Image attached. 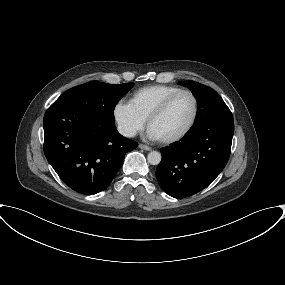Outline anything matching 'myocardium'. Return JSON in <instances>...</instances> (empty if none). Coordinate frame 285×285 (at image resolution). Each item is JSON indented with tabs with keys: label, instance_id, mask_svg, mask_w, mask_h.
<instances>
[{
	"label": "myocardium",
	"instance_id": "obj_1",
	"mask_svg": "<svg viewBox=\"0 0 285 285\" xmlns=\"http://www.w3.org/2000/svg\"><path fill=\"white\" fill-rule=\"evenodd\" d=\"M182 94H188L192 97L193 102H194V111H193V116L189 122V124L186 126V128L181 131L179 134L169 137V138H165V139H158V141L162 144L165 145H169V144H173L176 143L180 140H182L184 137H186L190 131L193 129V127L196 124L198 115H199V100L196 96V94L188 89H181L175 93H173L172 95L168 96L162 103H160L152 112L151 114L148 116L147 120H146V126L147 129L149 130V127L151 125V123L156 120L157 118H159L161 115H163L165 113V111L168 109V107L171 105V103L180 95Z\"/></svg>",
	"mask_w": 285,
	"mask_h": 285
}]
</instances>
